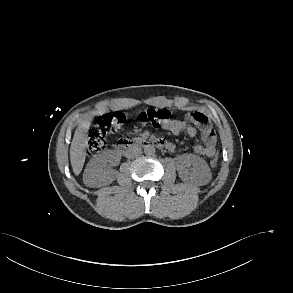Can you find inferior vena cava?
I'll return each instance as SVG.
<instances>
[{
  "label": "inferior vena cava",
  "mask_w": 293,
  "mask_h": 293,
  "mask_svg": "<svg viewBox=\"0 0 293 293\" xmlns=\"http://www.w3.org/2000/svg\"><path fill=\"white\" fill-rule=\"evenodd\" d=\"M139 154H141V148H139L138 146H133L129 152L127 153V157L128 158H133L138 156Z\"/></svg>",
  "instance_id": "1"
}]
</instances>
